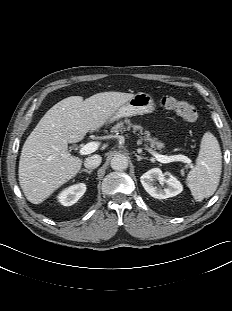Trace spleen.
<instances>
[{"instance_id": "spleen-1", "label": "spleen", "mask_w": 232, "mask_h": 311, "mask_svg": "<svg viewBox=\"0 0 232 311\" xmlns=\"http://www.w3.org/2000/svg\"><path fill=\"white\" fill-rule=\"evenodd\" d=\"M222 170V153L216 137L206 132L201 140L195 167L187 175V185L196 201L216 191Z\"/></svg>"}]
</instances>
